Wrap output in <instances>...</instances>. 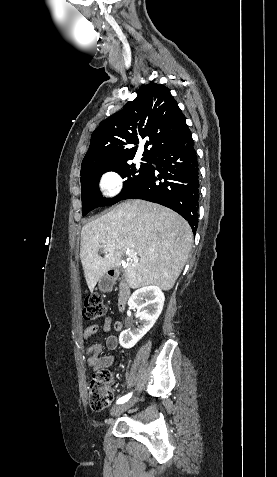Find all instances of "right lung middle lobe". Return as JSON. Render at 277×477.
Returning <instances> with one entry per match:
<instances>
[{"instance_id": "dd1d6c3e", "label": "right lung middle lobe", "mask_w": 277, "mask_h": 477, "mask_svg": "<svg viewBox=\"0 0 277 477\" xmlns=\"http://www.w3.org/2000/svg\"><path fill=\"white\" fill-rule=\"evenodd\" d=\"M149 170L150 165L145 163H141L140 168H136L134 164L124 163L109 167H90L81 170L82 215L85 216L89 211L98 206L112 205L121 201L125 195L142 182ZM108 171H115L122 178L127 179L124 182L122 191L116 197L106 199L102 198L98 182L101 175Z\"/></svg>"}]
</instances>
